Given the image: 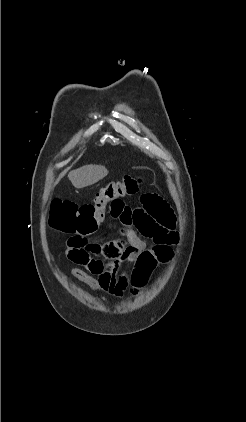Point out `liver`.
<instances>
[{
    "label": "liver",
    "mask_w": 246,
    "mask_h": 422,
    "mask_svg": "<svg viewBox=\"0 0 246 422\" xmlns=\"http://www.w3.org/2000/svg\"><path fill=\"white\" fill-rule=\"evenodd\" d=\"M108 170L101 165H86L68 174V178L77 189L95 184L107 176Z\"/></svg>",
    "instance_id": "obj_1"
}]
</instances>
